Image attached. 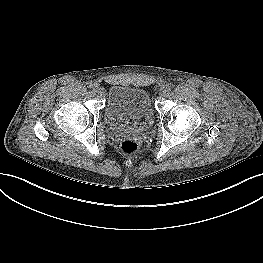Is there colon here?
Segmentation results:
<instances>
[{"label":"colon","mask_w":263,"mask_h":263,"mask_svg":"<svg viewBox=\"0 0 263 263\" xmlns=\"http://www.w3.org/2000/svg\"><path fill=\"white\" fill-rule=\"evenodd\" d=\"M138 144L130 139L124 140L121 144V150L125 154H134L138 151Z\"/></svg>","instance_id":"colon-1"}]
</instances>
